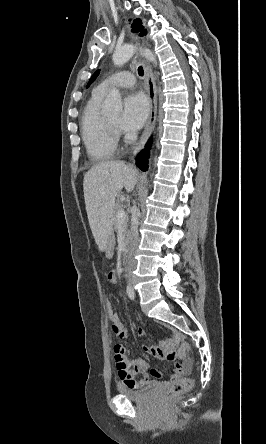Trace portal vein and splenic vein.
<instances>
[{
    "label": "portal vein and splenic vein",
    "instance_id": "portal-vein-and-splenic-vein-1",
    "mask_svg": "<svg viewBox=\"0 0 266 444\" xmlns=\"http://www.w3.org/2000/svg\"><path fill=\"white\" fill-rule=\"evenodd\" d=\"M125 215H126L125 211L123 209H121L118 212L117 217H118L119 220H122L125 217Z\"/></svg>",
    "mask_w": 266,
    "mask_h": 444
}]
</instances>
